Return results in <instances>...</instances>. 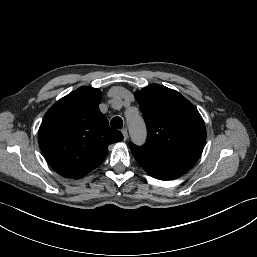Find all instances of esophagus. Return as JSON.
Returning <instances> with one entry per match:
<instances>
[{
	"label": "esophagus",
	"mask_w": 257,
	"mask_h": 257,
	"mask_svg": "<svg viewBox=\"0 0 257 257\" xmlns=\"http://www.w3.org/2000/svg\"><path fill=\"white\" fill-rule=\"evenodd\" d=\"M121 132H122V134H123V139H124V141H126L127 138H128L127 129H126V128H123V129L121 130Z\"/></svg>",
	"instance_id": "esophagus-1"
}]
</instances>
